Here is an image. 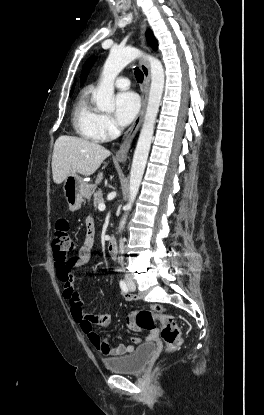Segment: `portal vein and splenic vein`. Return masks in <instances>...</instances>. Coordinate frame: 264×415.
<instances>
[{"label": "portal vein and splenic vein", "instance_id": "obj_1", "mask_svg": "<svg viewBox=\"0 0 264 415\" xmlns=\"http://www.w3.org/2000/svg\"><path fill=\"white\" fill-rule=\"evenodd\" d=\"M105 208H106V206H105V204H104V203H100V204L98 205V209H99V211H104V210H105Z\"/></svg>", "mask_w": 264, "mask_h": 415}]
</instances>
